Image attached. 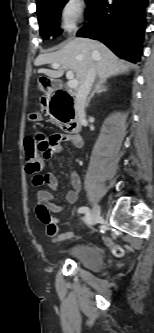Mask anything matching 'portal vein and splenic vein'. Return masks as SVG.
Wrapping results in <instances>:
<instances>
[{"label": "portal vein and splenic vein", "instance_id": "1", "mask_svg": "<svg viewBox=\"0 0 154 333\" xmlns=\"http://www.w3.org/2000/svg\"><path fill=\"white\" fill-rule=\"evenodd\" d=\"M61 65L59 63H52V67L54 69H58ZM66 77L68 78V87L69 88H76L79 84L78 80L74 77L73 71L69 70L66 73Z\"/></svg>", "mask_w": 154, "mask_h": 333}]
</instances>
